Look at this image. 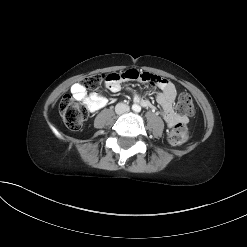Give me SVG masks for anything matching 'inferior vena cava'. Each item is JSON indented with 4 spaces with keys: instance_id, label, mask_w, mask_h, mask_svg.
<instances>
[{
    "instance_id": "1",
    "label": "inferior vena cava",
    "mask_w": 247,
    "mask_h": 247,
    "mask_svg": "<svg viewBox=\"0 0 247 247\" xmlns=\"http://www.w3.org/2000/svg\"><path fill=\"white\" fill-rule=\"evenodd\" d=\"M128 110L129 106L124 103H118L115 107V112L119 115L128 112Z\"/></svg>"
}]
</instances>
